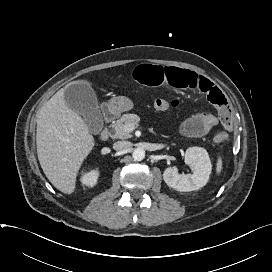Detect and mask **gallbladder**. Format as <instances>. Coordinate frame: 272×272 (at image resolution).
Masks as SVG:
<instances>
[{"label": "gallbladder", "instance_id": "1", "mask_svg": "<svg viewBox=\"0 0 272 272\" xmlns=\"http://www.w3.org/2000/svg\"><path fill=\"white\" fill-rule=\"evenodd\" d=\"M64 99L70 109L82 115L89 131L98 134L103 128V118L94 90L87 84L76 82L66 87Z\"/></svg>", "mask_w": 272, "mask_h": 272}]
</instances>
